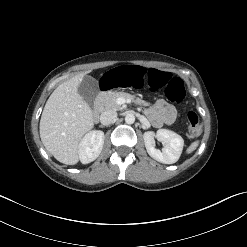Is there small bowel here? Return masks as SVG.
I'll return each instance as SVG.
<instances>
[{"mask_svg": "<svg viewBox=\"0 0 247 247\" xmlns=\"http://www.w3.org/2000/svg\"><path fill=\"white\" fill-rule=\"evenodd\" d=\"M149 115L156 126L171 124L176 116L175 109L165 100H158L150 109Z\"/></svg>", "mask_w": 247, "mask_h": 247, "instance_id": "small-bowel-1", "label": "small bowel"}]
</instances>
